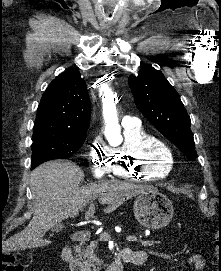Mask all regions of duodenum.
<instances>
[{"label":"duodenum","instance_id":"1","mask_svg":"<svg viewBox=\"0 0 221 271\" xmlns=\"http://www.w3.org/2000/svg\"><path fill=\"white\" fill-rule=\"evenodd\" d=\"M88 231H78L72 237V243L62 251V259L69 265L71 271H89L88 268L78 259L77 251L80 245L88 241ZM146 256L135 254L130 249L124 248L115 256L114 260L106 267L105 271H123L124 263L143 264Z\"/></svg>","mask_w":221,"mask_h":271}]
</instances>
